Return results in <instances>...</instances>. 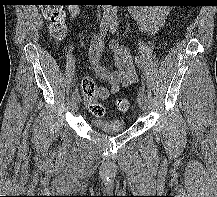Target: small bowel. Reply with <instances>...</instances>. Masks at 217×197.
Segmentation results:
<instances>
[{"label": "small bowel", "mask_w": 217, "mask_h": 197, "mask_svg": "<svg viewBox=\"0 0 217 197\" xmlns=\"http://www.w3.org/2000/svg\"><path fill=\"white\" fill-rule=\"evenodd\" d=\"M79 12L77 5L69 6V13L72 17H77ZM132 15L142 32L154 34L167 22L169 9L162 6L134 8L132 9ZM103 47L102 36L99 34L93 35L89 50V61L97 75L110 83V87L106 88L107 95L102 98L106 99L117 94L121 86L135 83L138 80V74L128 49L121 46L116 40L110 43V49L114 55L115 70L111 71L108 67L103 66L101 63Z\"/></svg>", "instance_id": "1"}]
</instances>
